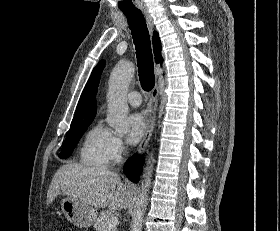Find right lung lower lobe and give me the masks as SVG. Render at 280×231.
<instances>
[{
	"mask_svg": "<svg viewBox=\"0 0 280 231\" xmlns=\"http://www.w3.org/2000/svg\"><path fill=\"white\" fill-rule=\"evenodd\" d=\"M142 158L138 155L132 156L124 165V173L133 182H138L142 170Z\"/></svg>",
	"mask_w": 280,
	"mask_h": 231,
	"instance_id": "obj_1",
	"label": "right lung lower lobe"
}]
</instances>
